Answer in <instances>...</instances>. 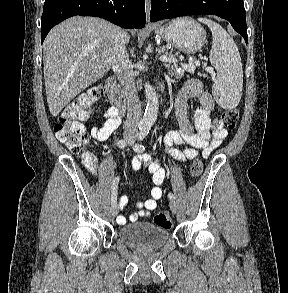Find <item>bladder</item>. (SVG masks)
<instances>
[{"instance_id": "1", "label": "bladder", "mask_w": 288, "mask_h": 293, "mask_svg": "<svg viewBox=\"0 0 288 293\" xmlns=\"http://www.w3.org/2000/svg\"><path fill=\"white\" fill-rule=\"evenodd\" d=\"M119 238L126 244L143 250L157 249L169 240V231L149 222H137L122 226Z\"/></svg>"}]
</instances>
